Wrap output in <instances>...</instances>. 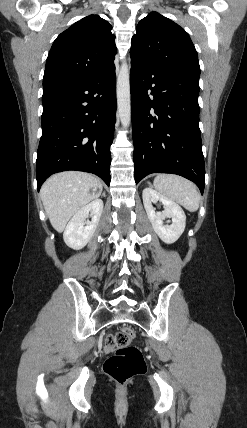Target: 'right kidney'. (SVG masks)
Listing matches in <instances>:
<instances>
[{
  "label": "right kidney",
  "mask_w": 247,
  "mask_h": 428,
  "mask_svg": "<svg viewBox=\"0 0 247 428\" xmlns=\"http://www.w3.org/2000/svg\"><path fill=\"white\" fill-rule=\"evenodd\" d=\"M103 206L101 199H94L72 217L63 233L68 247L79 250L86 246L98 226ZM89 215L92 219L86 222Z\"/></svg>",
  "instance_id": "ca27d5eb"
}]
</instances>
